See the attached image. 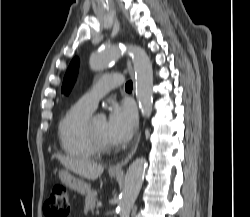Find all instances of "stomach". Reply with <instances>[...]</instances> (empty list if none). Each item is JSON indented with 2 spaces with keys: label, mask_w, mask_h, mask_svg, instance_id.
Here are the masks:
<instances>
[{
  "label": "stomach",
  "mask_w": 250,
  "mask_h": 217,
  "mask_svg": "<svg viewBox=\"0 0 250 217\" xmlns=\"http://www.w3.org/2000/svg\"><path fill=\"white\" fill-rule=\"evenodd\" d=\"M60 180L67 187L73 189L81 195L88 194L90 190V185L84 180L73 176L68 170H60L58 173ZM111 177L117 176L115 173H110Z\"/></svg>",
  "instance_id": "0dacf381"
}]
</instances>
